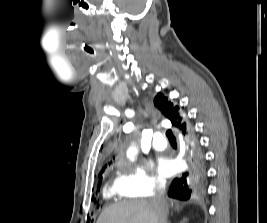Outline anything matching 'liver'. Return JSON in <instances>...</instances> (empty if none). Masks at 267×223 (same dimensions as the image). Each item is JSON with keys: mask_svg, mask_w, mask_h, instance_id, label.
Returning a JSON list of instances; mask_svg holds the SVG:
<instances>
[{"mask_svg": "<svg viewBox=\"0 0 267 223\" xmlns=\"http://www.w3.org/2000/svg\"><path fill=\"white\" fill-rule=\"evenodd\" d=\"M97 223H159V211L151 201H124L106 208Z\"/></svg>", "mask_w": 267, "mask_h": 223, "instance_id": "1", "label": "liver"}]
</instances>
